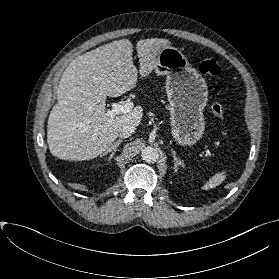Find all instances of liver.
<instances>
[{"mask_svg": "<svg viewBox=\"0 0 279 279\" xmlns=\"http://www.w3.org/2000/svg\"><path fill=\"white\" fill-rule=\"evenodd\" d=\"M170 44L159 38L137 42L142 77L155 69L159 51ZM132 53V43L121 39L86 52L67 66L48 118L47 143L53 156L72 161L103 156L124 126H139L141 106L123 115L106 114L108 96H121L136 86Z\"/></svg>", "mask_w": 279, "mask_h": 279, "instance_id": "1", "label": "liver"}]
</instances>
